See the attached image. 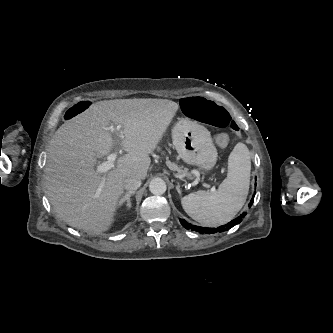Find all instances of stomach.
Listing matches in <instances>:
<instances>
[{
    "label": "stomach",
    "instance_id": "1",
    "mask_svg": "<svg viewBox=\"0 0 333 333\" xmlns=\"http://www.w3.org/2000/svg\"><path fill=\"white\" fill-rule=\"evenodd\" d=\"M172 139L184 162L198 166L203 173L213 169L218 153L211 143L210 132L204 126L189 118H182L172 129Z\"/></svg>",
    "mask_w": 333,
    "mask_h": 333
}]
</instances>
